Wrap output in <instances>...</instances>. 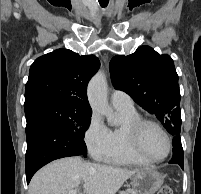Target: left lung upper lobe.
<instances>
[{
    "instance_id": "5c2ea615",
    "label": "left lung upper lobe",
    "mask_w": 201,
    "mask_h": 194,
    "mask_svg": "<svg viewBox=\"0 0 201 194\" xmlns=\"http://www.w3.org/2000/svg\"><path fill=\"white\" fill-rule=\"evenodd\" d=\"M110 73L116 89L126 92L156 116L170 134H180L178 75L169 55H160L149 46H141L128 56L113 57Z\"/></svg>"
}]
</instances>
